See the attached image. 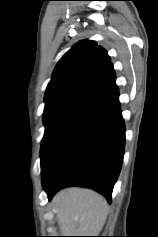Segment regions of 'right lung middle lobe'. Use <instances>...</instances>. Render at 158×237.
Instances as JSON below:
<instances>
[{
  "instance_id": "1",
  "label": "right lung middle lobe",
  "mask_w": 158,
  "mask_h": 237,
  "mask_svg": "<svg viewBox=\"0 0 158 237\" xmlns=\"http://www.w3.org/2000/svg\"><path fill=\"white\" fill-rule=\"evenodd\" d=\"M80 105L81 104L71 100H55L46 102L43 113V121L46 127L43 140L60 122H62Z\"/></svg>"
}]
</instances>
